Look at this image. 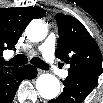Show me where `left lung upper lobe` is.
<instances>
[{"instance_id":"left-lung-upper-lobe-1","label":"left lung upper lobe","mask_w":103,"mask_h":103,"mask_svg":"<svg viewBox=\"0 0 103 103\" xmlns=\"http://www.w3.org/2000/svg\"><path fill=\"white\" fill-rule=\"evenodd\" d=\"M58 48L55 55L70 65L69 75L99 76L102 69V55L95 40L81 22L72 16L58 13Z\"/></svg>"}]
</instances>
